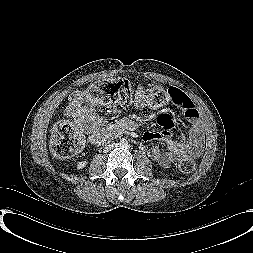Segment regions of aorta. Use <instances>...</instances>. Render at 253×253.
<instances>
[{
	"mask_svg": "<svg viewBox=\"0 0 253 253\" xmlns=\"http://www.w3.org/2000/svg\"><path fill=\"white\" fill-rule=\"evenodd\" d=\"M120 145L123 147V148H126L128 145H129V142L127 139H121L120 140Z\"/></svg>",
	"mask_w": 253,
	"mask_h": 253,
	"instance_id": "762f6f07",
	"label": "aorta"
}]
</instances>
